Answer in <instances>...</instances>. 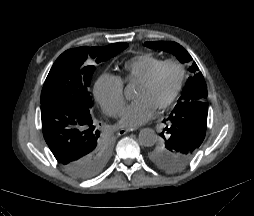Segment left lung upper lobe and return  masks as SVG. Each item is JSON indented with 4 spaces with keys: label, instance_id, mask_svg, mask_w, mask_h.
Returning <instances> with one entry per match:
<instances>
[{
    "label": "left lung upper lobe",
    "instance_id": "obj_1",
    "mask_svg": "<svg viewBox=\"0 0 254 216\" xmlns=\"http://www.w3.org/2000/svg\"><path fill=\"white\" fill-rule=\"evenodd\" d=\"M146 47L170 52L183 63L192 60L189 53L176 42H146ZM195 62L190 67L194 72L189 77L173 111L166 121V128L160 134L162 140L153 145L149 160L162 170L178 172L185 169L198 152L206 133L208 114L207 87ZM165 122V120H163Z\"/></svg>",
    "mask_w": 254,
    "mask_h": 216
}]
</instances>
